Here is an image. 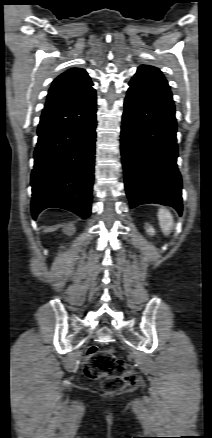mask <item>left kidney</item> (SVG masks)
<instances>
[{
    "label": "left kidney",
    "instance_id": "left-kidney-1",
    "mask_svg": "<svg viewBox=\"0 0 212 438\" xmlns=\"http://www.w3.org/2000/svg\"><path fill=\"white\" fill-rule=\"evenodd\" d=\"M146 231H147V233H148L149 235H154V234H155V230H154V228H153L152 226L148 225V224H147V229H146Z\"/></svg>",
    "mask_w": 212,
    "mask_h": 438
}]
</instances>
